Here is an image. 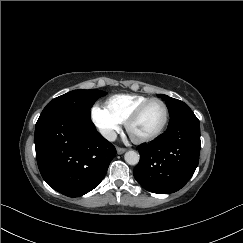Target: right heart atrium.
<instances>
[{"mask_svg":"<svg viewBox=\"0 0 243 243\" xmlns=\"http://www.w3.org/2000/svg\"><path fill=\"white\" fill-rule=\"evenodd\" d=\"M91 119L100 133L111 139L120 130L121 122L107 108L95 105L91 109Z\"/></svg>","mask_w":243,"mask_h":243,"instance_id":"right-heart-atrium-1","label":"right heart atrium"}]
</instances>
